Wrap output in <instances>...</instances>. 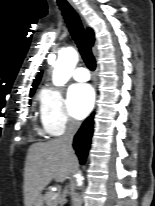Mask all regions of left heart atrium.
Listing matches in <instances>:
<instances>
[{
    "label": "left heart atrium",
    "mask_w": 155,
    "mask_h": 206,
    "mask_svg": "<svg viewBox=\"0 0 155 206\" xmlns=\"http://www.w3.org/2000/svg\"><path fill=\"white\" fill-rule=\"evenodd\" d=\"M94 103V92L90 85L76 84L68 92V104L71 113L77 118H83L91 110Z\"/></svg>",
    "instance_id": "1"
}]
</instances>
